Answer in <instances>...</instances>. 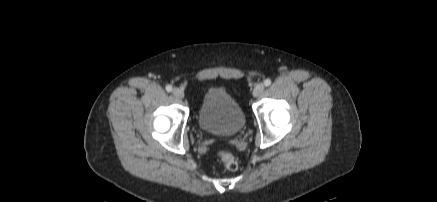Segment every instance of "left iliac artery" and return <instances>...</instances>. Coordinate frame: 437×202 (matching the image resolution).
Masks as SVG:
<instances>
[{
    "mask_svg": "<svg viewBox=\"0 0 437 202\" xmlns=\"http://www.w3.org/2000/svg\"><path fill=\"white\" fill-rule=\"evenodd\" d=\"M271 84V80L270 79H266L265 81H264V85L265 86H269Z\"/></svg>",
    "mask_w": 437,
    "mask_h": 202,
    "instance_id": "obj_1",
    "label": "left iliac artery"
}]
</instances>
